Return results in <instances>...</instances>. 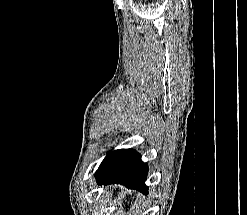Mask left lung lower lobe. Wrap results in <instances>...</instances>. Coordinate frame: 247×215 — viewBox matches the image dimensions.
Here are the masks:
<instances>
[{"instance_id":"1","label":"left lung lower lobe","mask_w":247,"mask_h":215,"mask_svg":"<svg viewBox=\"0 0 247 215\" xmlns=\"http://www.w3.org/2000/svg\"><path fill=\"white\" fill-rule=\"evenodd\" d=\"M147 164L133 149L109 152L96 171L98 184L118 183L147 193Z\"/></svg>"}]
</instances>
